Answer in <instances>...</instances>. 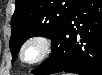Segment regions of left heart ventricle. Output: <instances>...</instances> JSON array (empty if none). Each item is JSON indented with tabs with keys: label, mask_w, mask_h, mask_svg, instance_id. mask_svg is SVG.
I'll use <instances>...</instances> for the list:
<instances>
[{
	"label": "left heart ventricle",
	"mask_w": 102,
	"mask_h": 75,
	"mask_svg": "<svg viewBox=\"0 0 102 75\" xmlns=\"http://www.w3.org/2000/svg\"><path fill=\"white\" fill-rule=\"evenodd\" d=\"M34 53H35V49H31L30 54H34Z\"/></svg>",
	"instance_id": "1"
}]
</instances>
